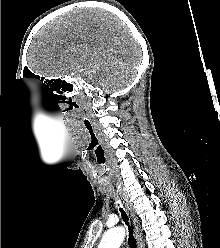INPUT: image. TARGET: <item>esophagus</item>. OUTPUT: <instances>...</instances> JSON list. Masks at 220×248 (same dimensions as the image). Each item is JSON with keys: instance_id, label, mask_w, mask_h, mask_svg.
Segmentation results:
<instances>
[{"instance_id": "1", "label": "esophagus", "mask_w": 220, "mask_h": 248, "mask_svg": "<svg viewBox=\"0 0 220 248\" xmlns=\"http://www.w3.org/2000/svg\"><path fill=\"white\" fill-rule=\"evenodd\" d=\"M118 191H119L120 197L122 198L125 204L128 214L130 215V218L132 220L135 236L137 239V248H143L142 236H141V231H140V221L138 219V216L134 210L132 203L129 201L128 197L125 195L123 190L120 187H118Z\"/></svg>"}]
</instances>
